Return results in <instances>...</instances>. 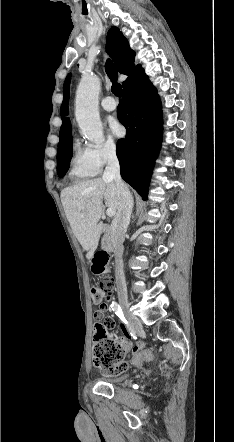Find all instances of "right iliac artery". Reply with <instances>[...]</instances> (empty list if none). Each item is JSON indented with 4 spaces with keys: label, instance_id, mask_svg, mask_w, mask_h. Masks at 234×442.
<instances>
[{
    "label": "right iliac artery",
    "instance_id": "right-iliac-artery-1",
    "mask_svg": "<svg viewBox=\"0 0 234 442\" xmlns=\"http://www.w3.org/2000/svg\"><path fill=\"white\" fill-rule=\"evenodd\" d=\"M111 308H112V310L115 312V314L123 321V322H125V323H127V321H126V319H125V317H124V315H123V312H122V309H121V307H120V305L117 303V302H112L111 303Z\"/></svg>",
    "mask_w": 234,
    "mask_h": 442
}]
</instances>
